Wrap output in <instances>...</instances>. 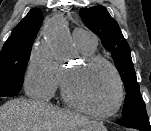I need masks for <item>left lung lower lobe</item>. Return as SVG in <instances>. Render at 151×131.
I'll use <instances>...</instances> for the list:
<instances>
[{"instance_id": "obj_1", "label": "left lung lower lobe", "mask_w": 151, "mask_h": 131, "mask_svg": "<svg viewBox=\"0 0 151 131\" xmlns=\"http://www.w3.org/2000/svg\"><path fill=\"white\" fill-rule=\"evenodd\" d=\"M116 123L121 126L127 128H135L140 131H151L149 118L146 112H140L129 116H125L121 120L117 121Z\"/></svg>"}]
</instances>
